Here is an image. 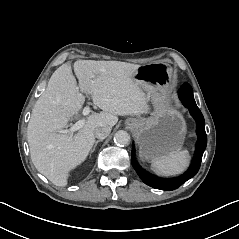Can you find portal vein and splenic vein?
I'll use <instances>...</instances> for the list:
<instances>
[{
    "mask_svg": "<svg viewBox=\"0 0 239 239\" xmlns=\"http://www.w3.org/2000/svg\"><path fill=\"white\" fill-rule=\"evenodd\" d=\"M91 97H92L93 99H96V100L99 99L98 97L93 96V95H91ZM82 112H83L84 115H88V114L91 112V106H90L89 103H87V104L85 105V107L83 108V111H82ZM82 126H83V121L80 120V121L76 122L74 125H72L71 127L67 128V129H65V130H63V133H64V134H68L69 137H70V139H73L74 133H75L76 131L80 130Z\"/></svg>",
    "mask_w": 239,
    "mask_h": 239,
    "instance_id": "18ae733b",
    "label": "portal vein and splenic vein"
}]
</instances>
